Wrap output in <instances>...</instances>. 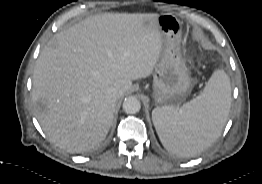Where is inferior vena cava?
I'll list each match as a JSON object with an SVG mask.
<instances>
[{"mask_svg":"<svg viewBox=\"0 0 262 184\" xmlns=\"http://www.w3.org/2000/svg\"><path fill=\"white\" fill-rule=\"evenodd\" d=\"M106 98L111 102H116L119 98V94L116 88L108 89L106 93Z\"/></svg>","mask_w":262,"mask_h":184,"instance_id":"1","label":"inferior vena cava"}]
</instances>
